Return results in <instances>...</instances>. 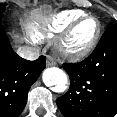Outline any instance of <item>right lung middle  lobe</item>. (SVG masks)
I'll return each mask as SVG.
<instances>
[{
	"label": "right lung middle lobe",
	"instance_id": "right-lung-middle-lobe-1",
	"mask_svg": "<svg viewBox=\"0 0 117 117\" xmlns=\"http://www.w3.org/2000/svg\"><path fill=\"white\" fill-rule=\"evenodd\" d=\"M5 6L6 4H0V15H2L3 12L5 11Z\"/></svg>",
	"mask_w": 117,
	"mask_h": 117
}]
</instances>
